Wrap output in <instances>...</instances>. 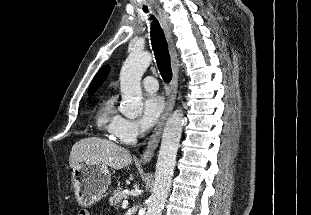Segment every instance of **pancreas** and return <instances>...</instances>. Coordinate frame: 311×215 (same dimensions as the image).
I'll return each mask as SVG.
<instances>
[{
	"mask_svg": "<svg viewBox=\"0 0 311 215\" xmlns=\"http://www.w3.org/2000/svg\"><path fill=\"white\" fill-rule=\"evenodd\" d=\"M127 198V194L123 191L121 187H117L113 192L112 196L109 198L110 205L113 207H119L120 202Z\"/></svg>",
	"mask_w": 311,
	"mask_h": 215,
	"instance_id": "pancreas-1",
	"label": "pancreas"
}]
</instances>
